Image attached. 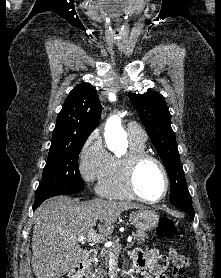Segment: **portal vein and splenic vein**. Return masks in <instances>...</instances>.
<instances>
[{"mask_svg": "<svg viewBox=\"0 0 221 278\" xmlns=\"http://www.w3.org/2000/svg\"><path fill=\"white\" fill-rule=\"evenodd\" d=\"M79 242H89V243H103L104 242V237L101 235L97 234L95 230L92 228L88 232L86 237H79L78 238ZM131 244H128L130 246ZM110 256H113V253L110 254Z\"/></svg>", "mask_w": 221, "mask_h": 278, "instance_id": "obj_1", "label": "portal vein and splenic vein"}]
</instances>
